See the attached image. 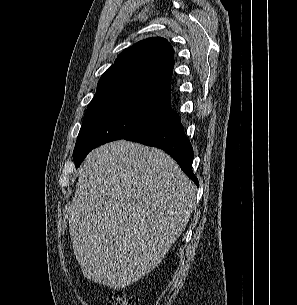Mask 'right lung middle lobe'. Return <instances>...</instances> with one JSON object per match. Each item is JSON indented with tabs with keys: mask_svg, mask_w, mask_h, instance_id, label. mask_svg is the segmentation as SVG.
I'll return each mask as SVG.
<instances>
[{
	"mask_svg": "<svg viewBox=\"0 0 297 305\" xmlns=\"http://www.w3.org/2000/svg\"><path fill=\"white\" fill-rule=\"evenodd\" d=\"M171 110L169 103L143 97H121L88 106L75 144V164L80 166L92 149L124 139Z\"/></svg>",
	"mask_w": 297,
	"mask_h": 305,
	"instance_id": "obj_1",
	"label": "right lung middle lobe"
}]
</instances>
